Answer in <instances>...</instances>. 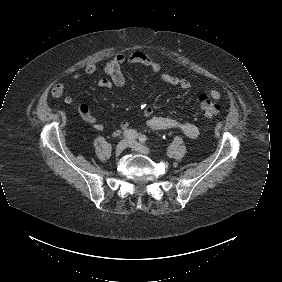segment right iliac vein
<instances>
[{
	"label": "right iliac vein",
	"mask_w": 282,
	"mask_h": 282,
	"mask_svg": "<svg viewBox=\"0 0 282 282\" xmlns=\"http://www.w3.org/2000/svg\"><path fill=\"white\" fill-rule=\"evenodd\" d=\"M129 146V140L123 139L116 146V154L122 153Z\"/></svg>",
	"instance_id": "obj_1"
}]
</instances>
